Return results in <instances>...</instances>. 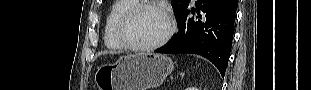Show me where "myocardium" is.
<instances>
[{
  "label": "myocardium",
  "instance_id": "1",
  "mask_svg": "<svg viewBox=\"0 0 311 90\" xmlns=\"http://www.w3.org/2000/svg\"><path fill=\"white\" fill-rule=\"evenodd\" d=\"M144 8H153L158 11H160L163 16L166 19L167 22V30L166 33L163 35L161 39L156 41L153 44L150 45H136L131 42V40L128 38L126 34V28L132 18L142 9ZM175 32V20L173 18V15L171 12L163 5L156 3V2H150V1H142V2H137L135 5H133L130 9H128L120 18L117 26V35L124 46V48L133 51V52H139V53H144V52H150L153 51L157 48H160L164 44L168 42V40L172 37V35Z\"/></svg>",
  "mask_w": 311,
  "mask_h": 90
}]
</instances>
